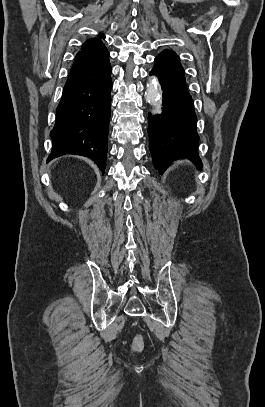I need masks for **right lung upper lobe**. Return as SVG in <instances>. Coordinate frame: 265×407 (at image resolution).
I'll list each match as a JSON object with an SVG mask.
<instances>
[{
  "mask_svg": "<svg viewBox=\"0 0 265 407\" xmlns=\"http://www.w3.org/2000/svg\"><path fill=\"white\" fill-rule=\"evenodd\" d=\"M99 38H91L83 43L81 51L77 53L73 66L83 60H95L107 53V48L100 38H104L103 34L98 35Z\"/></svg>",
  "mask_w": 265,
  "mask_h": 407,
  "instance_id": "obj_1",
  "label": "right lung upper lobe"
}]
</instances>
